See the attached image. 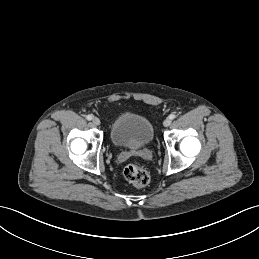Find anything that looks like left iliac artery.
I'll list each match as a JSON object with an SVG mask.
<instances>
[{
	"label": "left iliac artery",
	"instance_id": "left-iliac-artery-1",
	"mask_svg": "<svg viewBox=\"0 0 259 259\" xmlns=\"http://www.w3.org/2000/svg\"><path fill=\"white\" fill-rule=\"evenodd\" d=\"M169 118H170V119H174V118H176V115H175V114H170V115H169Z\"/></svg>",
	"mask_w": 259,
	"mask_h": 259
}]
</instances>
